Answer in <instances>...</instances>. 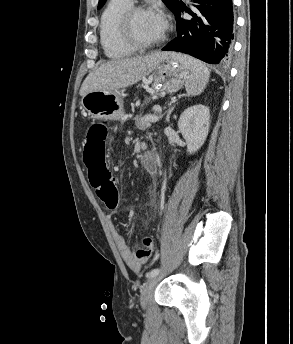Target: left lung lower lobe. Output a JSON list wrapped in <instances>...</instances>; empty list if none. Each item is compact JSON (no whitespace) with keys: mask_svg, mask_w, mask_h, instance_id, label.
I'll list each match as a JSON object with an SVG mask.
<instances>
[{"mask_svg":"<svg viewBox=\"0 0 293 344\" xmlns=\"http://www.w3.org/2000/svg\"><path fill=\"white\" fill-rule=\"evenodd\" d=\"M192 8L182 3L172 11L176 17L177 37L162 50L189 54L210 64H225L233 48L232 0H191ZM185 11L193 18L184 19Z\"/></svg>","mask_w":293,"mask_h":344,"instance_id":"0a47b994","label":"left lung lower lobe"}]
</instances>
